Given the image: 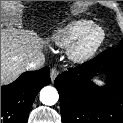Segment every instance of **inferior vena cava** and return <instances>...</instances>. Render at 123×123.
Here are the masks:
<instances>
[{
    "mask_svg": "<svg viewBox=\"0 0 123 123\" xmlns=\"http://www.w3.org/2000/svg\"><path fill=\"white\" fill-rule=\"evenodd\" d=\"M44 63H45V57H44V55H39L34 60L28 62L25 65V68L27 70H38V69L42 68V66L44 65Z\"/></svg>",
    "mask_w": 123,
    "mask_h": 123,
    "instance_id": "inferior-vena-cava-1",
    "label": "inferior vena cava"
}]
</instances>
